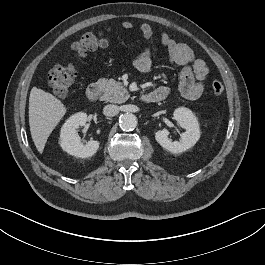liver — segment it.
<instances>
[{
	"label": "liver",
	"instance_id": "1",
	"mask_svg": "<svg viewBox=\"0 0 265 265\" xmlns=\"http://www.w3.org/2000/svg\"><path fill=\"white\" fill-rule=\"evenodd\" d=\"M66 113L64 104L52 94L33 87L29 97V126L33 142L42 153L48 137Z\"/></svg>",
	"mask_w": 265,
	"mask_h": 265
}]
</instances>
